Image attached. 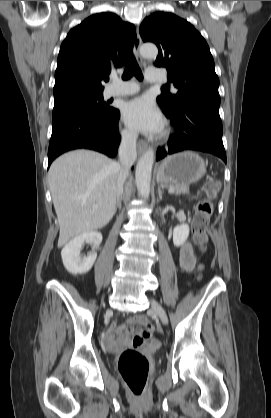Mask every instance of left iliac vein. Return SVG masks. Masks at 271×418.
<instances>
[{"label":"left iliac vein","mask_w":271,"mask_h":418,"mask_svg":"<svg viewBox=\"0 0 271 418\" xmlns=\"http://www.w3.org/2000/svg\"><path fill=\"white\" fill-rule=\"evenodd\" d=\"M151 308L160 318L163 324H168V317L163 307L155 300H151Z\"/></svg>","instance_id":"left-iliac-vein-1"}]
</instances>
